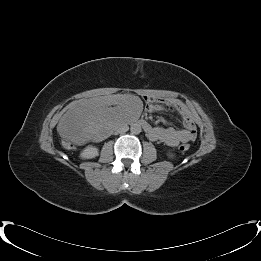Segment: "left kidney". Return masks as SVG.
Listing matches in <instances>:
<instances>
[{"label":"left kidney","mask_w":261,"mask_h":261,"mask_svg":"<svg viewBox=\"0 0 261 261\" xmlns=\"http://www.w3.org/2000/svg\"><path fill=\"white\" fill-rule=\"evenodd\" d=\"M168 157L173 158L174 154L172 152H168Z\"/></svg>","instance_id":"obj_1"}]
</instances>
